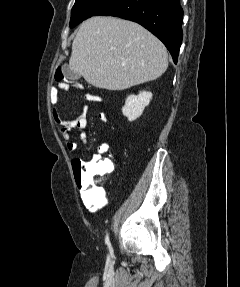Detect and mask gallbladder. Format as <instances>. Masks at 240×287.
Segmentation results:
<instances>
[{"mask_svg": "<svg viewBox=\"0 0 240 287\" xmlns=\"http://www.w3.org/2000/svg\"><path fill=\"white\" fill-rule=\"evenodd\" d=\"M64 74H65V77L69 79L70 81H75L81 78L80 73L72 71L68 66L65 67Z\"/></svg>", "mask_w": 240, "mask_h": 287, "instance_id": "bac80fb5", "label": "gallbladder"}]
</instances>
